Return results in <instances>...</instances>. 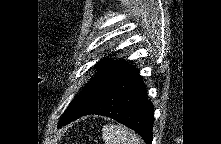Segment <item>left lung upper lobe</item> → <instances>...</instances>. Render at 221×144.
Masks as SVG:
<instances>
[{
	"label": "left lung upper lobe",
	"instance_id": "5c2ea615",
	"mask_svg": "<svg viewBox=\"0 0 221 144\" xmlns=\"http://www.w3.org/2000/svg\"><path fill=\"white\" fill-rule=\"evenodd\" d=\"M130 66L124 60L114 61L106 57L101 59L97 63V74L94 75L85 89L70 103L58 126H64L94 106Z\"/></svg>",
	"mask_w": 221,
	"mask_h": 144
}]
</instances>
